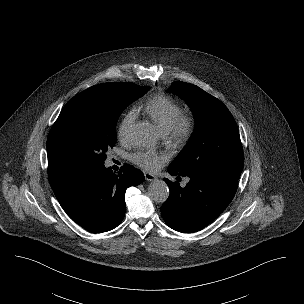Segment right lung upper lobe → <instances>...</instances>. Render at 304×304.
<instances>
[{
  "label": "right lung upper lobe",
  "instance_id": "cb5924a9",
  "mask_svg": "<svg viewBox=\"0 0 304 304\" xmlns=\"http://www.w3.org/2000/svg\"><path fill=\"white\" fill-rule=\"evenodd\" d=\"M126 83H103L81 92L73 98L86 95H111L119 91ZM48 176L52 189L83 172L79 167L47 146Z\"/></svg>",
  "mask_w": 304,
  "mask_h": 304
}]
</instances>
